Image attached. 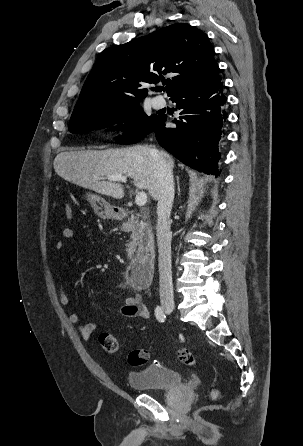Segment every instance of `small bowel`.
<instances>
[{
	"instance_id": "1",
	"label": "small bowel",
	"mask_w": 303,
	"mask_h": 446,
	"mask_svg": "<svg viewBox=\"0 0 303 446\" xmlns=\"http://www.w3.org/2000/svg\"><path fill=\"white\" fill-rule=\"evenodd\" d=\"M65 241H71L75 238V232L71 228H65L62 232ZM65 244L64 241L59 240L55 243V248L57 250H62ZM84 264V258H79L71 267L78 268ZM132 290V295L127 297L124 303L115 311V317L123 318H143L149 319L151 313L149 309L145 306L142 301L141 293L139 290L135 289L133 286L127 284ZM59 298L60 303L67 310L68 321L71 324L78 325V332L82 339L89 340L93 336L95 330L98 327L97 322H86L80 323L79 316L69 308V296L65 291L63 284L59 287Z\"/></svg>"
}]
</instances>
